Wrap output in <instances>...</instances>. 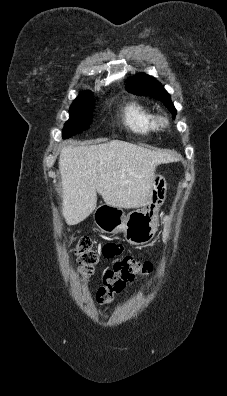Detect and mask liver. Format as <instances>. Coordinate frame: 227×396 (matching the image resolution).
Here are the masks:
<instances>
[{"instance_id": "1", "label": "liver", "mask_w": 227, "mask_h": 396, "mask_svg": "<svg viewBox=\"0 0 227 396\" xmlns=\"http://www.w3.org/2000/svg\"><path fill=\"white\" fill-rule=\"evenodd\" d=\"M174 160L167 152L121 140L63 147L59 169L66 222L76 225L84 221L96 207L97 193L110 206L125 209L144 206L156 167Z\"/></svg>"}]
</instances>
